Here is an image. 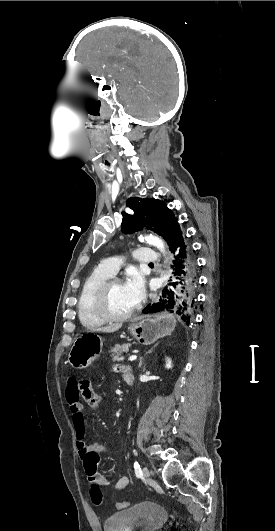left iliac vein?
Wrapping results in <instances>:
<instances>
[{"label": "left iliac vein", "instance_id": "4c4485c4", "mask_svg": "<svg viewBox=\"0 0 275 531\" xmlns=\"http://www.w3.org/2000/svg\"><path fill=\"white\" fill-rule=\"evenodd\" d=\"M143 474L148 484H155L156 481L149 476V470L147 467L143 468Z\"/></svg>", "mask_w": 275, "mask_h": 531}]
</instances>
